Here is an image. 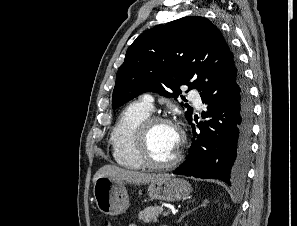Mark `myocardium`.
Wrapping results in <instances>:
<instances>
[{
  "label": "myocardium",
  "instance_id": "obj_1",
  "mask_svg": "<svg viewBox=\"0 0 297 226\" xmlns=\"http://www.w3.org/2000/svg\"><path fill=\"white\" fill-rule=\"evenodd\" d=\"M159 123L170 124L177 128L179 132L178 148L174 156L165 162H158L154 160L150 154L148 146V139L151 129ZM184 143L185 134L182 129L175 126L171 119L160 115H150L146 119H144L137 128L134 141L137 156L141 159L145 166L152 169H167L178 164L183 155Z\"/></svg>",
  "mask_w": 297,
  "mask_h": 226
}]
</instances>
